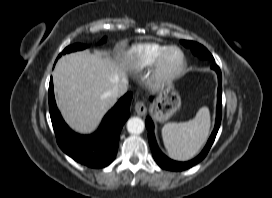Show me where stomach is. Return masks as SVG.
<instances>
[{
  "label": "stomach",
  "mask_w": 272,
  "mask_h": 198,
  "mask_svg": "<svg viewBox=\"0 0 272 198\" xmlns=\"http://www.w3.org/2000/svg\"><path fill=\"white\" fill-rule=\"evenodd\" d=\"M181 107V97L173 88L162 90L153 107V116L159 122H165Z\"/></svg>",
  "instance_id": "obj_1"
}]
</instances>
